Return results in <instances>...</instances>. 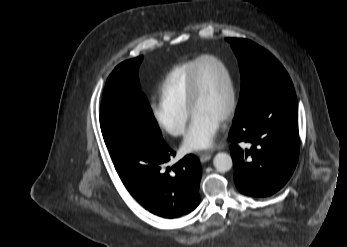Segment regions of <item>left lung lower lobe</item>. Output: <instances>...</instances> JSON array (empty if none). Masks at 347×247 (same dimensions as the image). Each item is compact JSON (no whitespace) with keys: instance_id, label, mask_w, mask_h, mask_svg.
Returning <instances> with one entry per match:
<instances>
[{"instance_id":"0a47b994","label":"left lung lower lobe","mask_w":347,"mask_h":247,"mask_svg":"<svg viewBox=\"0 0 347 247\" xmlns=\"http://www.w3.org/2000/svg\"><path fill=\"white\" fill-rule=\"evenodd\" d=\"M229 140L234 179L242 193L266 197L280 190L293 174L299 155L294 88L264 95L235 118Z\"/></svg>"}]
</instances>
